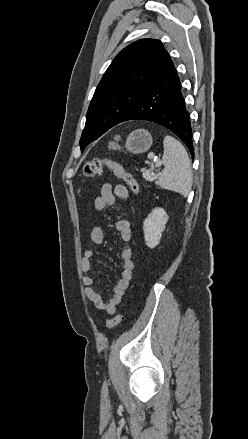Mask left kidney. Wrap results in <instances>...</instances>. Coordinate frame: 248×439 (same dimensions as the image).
Here are the masks:
<instances>
[{"mask_svg":"<svg viewBox=\"0 0 248 439\" xmlns=\"http://www.w3.org/2000/svg\"><path fill=\"white\" fill-rule=\"evenodd\" d=\"M168 218L163 208H154L144 220V239L149 248H155L159 244Z\"/></svg>","mask_w":248,"mask_h":439,"instance_id":"left-kidney-1","label":"left kidney"}]
</instances>
